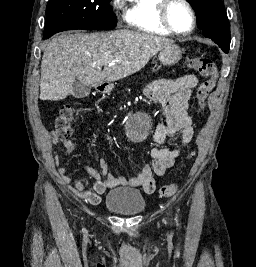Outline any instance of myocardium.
Masks as SVG:
<instances>
[{
	"instance_id": "1",
	"label": "myocardium",
	"mask_w": 256,
	"mask_h": 267,
	"mask_svg": "<svg viewBox=\"0 0 256 267\" xmlns=\"http://www.w3.org/2000/svg\"><path fill=\"white\" fill-rule=\"evenodd\" d=\"M174 1L178 2V3H181L190 12L191 19H192V26H191V29L189 31H187V32H184V33L178 32L172 26V24H171V22L169 20L168 10H169L170 4L172 2H174ZM158 20H159L160 24L166 30H168L173 35H176V36H179V37H187V36L191 35L196 29V15H195V12H194L193 8L185 0H162L161 9H160V12L158 14Z\"/></svg>"
}]
</instances>
